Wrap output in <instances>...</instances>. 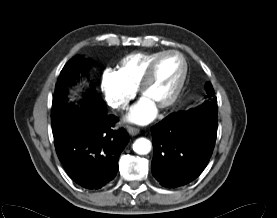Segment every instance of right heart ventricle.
<instances>
[{"label": "right heart ventricle", "mask_w": 277, "mask_h": 218, "mask_svg": "<svg viewBox=\"0 0 277 218\" xmlns=\"http://www.w3.org/2000/svg\"><path fill=\"white\" fill-rule=\"evenodd\" d=\"M159 53L161 52L131 53L120 61L118 73L127 84L136 89L138 88L148 65Z\"/></svg>", "instance_id": "obj_1"}]
</instances>
